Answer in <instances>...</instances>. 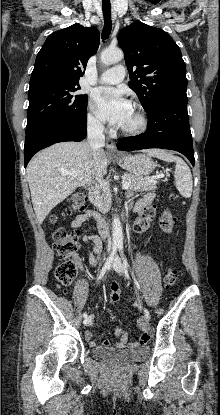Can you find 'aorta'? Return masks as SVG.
<instances>
[{"instance_id":"obj_1","label":"aorta","mask_w":220,"mask_h":415,"mask_svg":"<svg viewBox=\"0 0 220 415\" xmlns=\"http://www.w3.org/2000/svg\"><path fill=\"white\" fill-rule=\"evenodd\" d=\"M101 62L104 65H112L119 61H121L124 58L123 51L118 48H108L101 53ZM113 243L115 245H121L123 244V232H122V226L119 218L115 216L113 218Z\"/></svg>"}]
</instances>
